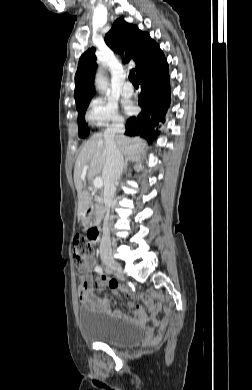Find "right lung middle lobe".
<instances>
[{
    "label": "right lung middle lobe",
    "instance_id": "1",
    "mask_svg": "<svg viewBox=\"0 0 252 390\" xmlns=\"http://www.w3.org/2000/svg\"><path fill=\"white\" fill-rule=\"evenodd\" d=\"M88 104L85 106L78 108V127H79V136L86 137L89 134V129L84 119V113L86 111Z\"/></svg>",
    "mask_w": 252,
    "mask_h": 390
}]
</instances>
